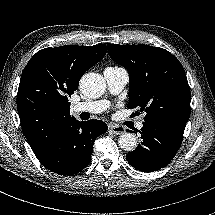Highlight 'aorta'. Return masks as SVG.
Returning a JSON list of instances; mask_svg holds the SVG:
<instances>
[{
  "mask_svg": "<svg viewBox=\"0 0 215 215\" xmlns=\"http://www.w3.org/2000/svg\"><path fill=\"white\" fill-rule=\"evenodd\" d=\"M79 86L84 96L97 98L104 93L105 80L99 74L89 73L82 76ZM118 145L122 150L132 152L137 147V139L132 133L124 132L118 139Z\"/></svg>",
  "mask_w": 215,
  "mask_h": 215,
  "instance_id": "obj_1",
  "label": "aorta"
}]
</instances>
